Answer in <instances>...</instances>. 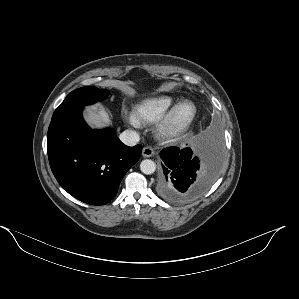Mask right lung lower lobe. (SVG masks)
I'll list each match as a JSON object with an SVG mask.
<instances>
[{
  "mask_svg": "<svg viewBox=\"0 0 299 299\" xmlns=\"http://www.w3.org/2000/svg\"><path fill=\"white\" fill-rule=\"evenodd\" d=\"M82 106L52 117L47 150L61 187L78 200L103 205L115 197L126 172L139 160L142 146L128 147L112 129L92 130Z\"/></svg>",
  "mask_w": 299,
  "mask_h": 299,
  "instance_id": "98d812e1",
  "label": "right lung lower lobe"
}]
</instances>
